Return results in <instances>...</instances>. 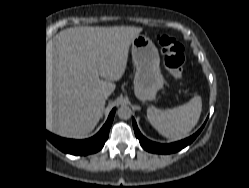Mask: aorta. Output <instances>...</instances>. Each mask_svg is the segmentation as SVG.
I'll use <instances>...</instances> for the list:
<instances>
[{"instance_id":"obj_1","label":"aorta","mask_w":249,"mask_h":188,"mask_svg":"<svg viewBox=\"0 0 249 188\" xmlns=\"http://www.w3.org/2000/svg\"><path fill=\"white\" fill-rule=\"evenodd\" d=\"M131 109L128 106H121L117 110V115L120 119L127 120L131 117Z\"/></svg>"}]
</instances>
